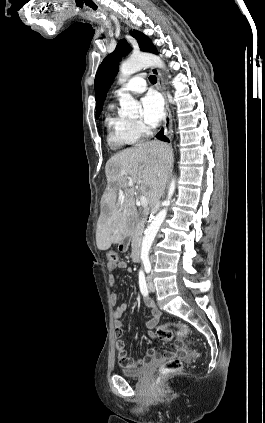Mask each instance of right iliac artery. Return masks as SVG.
Returning a JSON list of instances; mask_svg holds the SVG:
<instances>
[{
  "label": "right iliac artery",
  "mask_w": 265,
  "mask_h": 423,
  "mask_svg": "<svg viewBox=\"0 0 265 423\" xmlns=\"http://www.w3.org/2000/svg\"><path fill=\"white\" fill-rule=\"evenodd\" d=\"M139 287L143 296H148V288L146 284V279L142 270H140L139 272Z\"/></svg>",
  "instance_id": "obj_1"
}]
</instances>
